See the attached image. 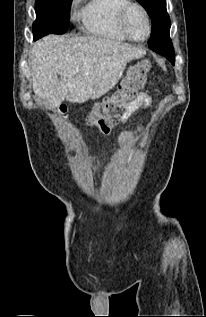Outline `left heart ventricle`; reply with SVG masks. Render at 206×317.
I'll use <instances>...</instances> for the list:
<instances>
[{"instance_id":"left-heart-ventricle-1","label":"left heart ventricle","mask_w":206,"mask_h":317,"mask_svg":"<svg viewBox=\"0 0 206 317\" xmlns=\"http://www.w3.org/2000/svg\"><path fill=\"white\" fill-rule=\"evenodd\" d=\"M128 32L137 39H142L147 34V23L143 13L138 8H133L126 19Z\"/></svg>"}]
</instances>
